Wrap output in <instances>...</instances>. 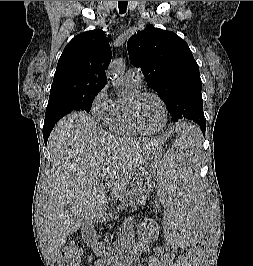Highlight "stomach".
Here are the masks:
<instances>
[{
	"label": "stomach",
	"mask_w": 253,
	"mask_h": 266,
	"mask_svg": "<svg viewBox=\"0 0 253 266\" xmlns=\"http://www.w3.org/2000/svg\"><path fill=\"white\" fill-rule=\"evenodd\" d=\"M164 156V151L162 147L158 149H154L151 154L146 156L142 165V177L144 179V184L148 186V190H150L154 185L157 184V177L160 176V172L162 169H159L158 162L162 160Z\"/></svg>",
	"instance_id": "0dacf381"
}]
</instances>
